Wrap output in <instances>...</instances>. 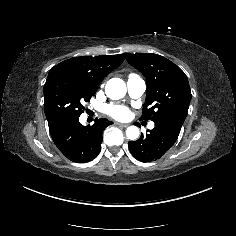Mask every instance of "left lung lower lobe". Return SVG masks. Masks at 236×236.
<instances>
[{
    "mask_svg": "<svg viewBox=\"0 0 236 236\" xmlns=\"http://www.w3.org/2000/svg\"><path fill=\"white\" fill-rule=\"evenodd\" d=\"M185 119L180 116H166L154 121L155 127L137 141H129L132 155L141 162L160 159L176 142Z\"/></svg>",
    "mask_w": 236,
    "mask_h": 236,
    "instance_id": "left-lung-lower-lobe-1",
    "label": "left lung lower lobe"
}]
</instances>
